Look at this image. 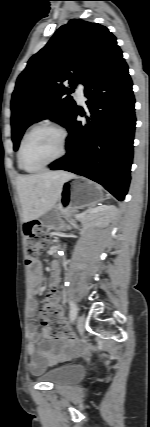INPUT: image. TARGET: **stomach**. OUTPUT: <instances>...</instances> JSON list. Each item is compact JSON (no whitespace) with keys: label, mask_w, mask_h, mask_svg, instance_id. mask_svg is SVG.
Masks as SVG:
<instances>
[{"label":"stomach","mask_w":150,"mask_h":427,"mask_svg":"<svg viewBox=\"0 0 150 427\" xmlns=\"http://www.w3.org/2000/svg\"><path fill=\"white\" fill-rule=\"evenodd\" d=\"M101 189L84 178L73 177L64 182L56 208L50 215H70L78 209L92 206L102 199Z\"/></svg>","instance_id":"stomach-1"}]
</instances>
